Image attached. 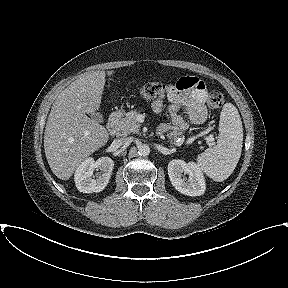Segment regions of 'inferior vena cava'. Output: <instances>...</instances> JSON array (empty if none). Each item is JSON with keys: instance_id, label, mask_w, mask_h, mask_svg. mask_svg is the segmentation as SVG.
Masks as SVG:
<instances>
[{"instance_id": "obj_1", "label": "inferior vena cava", "mask_w": 288, "mask_h": 288, "mask_svg": "<svg viewBox=\"0 0 288 288\" xmlns=\"http://www.w3.org/2000/svg\"><path fill=\"white\" fill-rule=\"evenodd\" d=\"M131 142H132L131 137H121L116 139L115 141L116 145L118 146H129Z\"/></svg>"}]
</instances>
